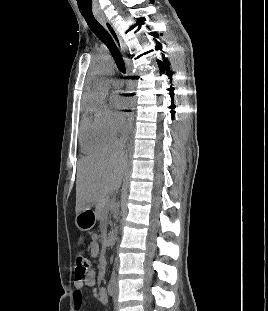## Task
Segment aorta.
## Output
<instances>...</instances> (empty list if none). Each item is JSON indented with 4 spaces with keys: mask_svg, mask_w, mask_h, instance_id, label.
Wrapping results in <instances>:
<instances>
[{
    "mask_svg": "<svg viewBox=\"0 0 268 311\" xmlns=\"http://www.w3.org/2000/svg\"><path fill=\"white\" fill-rule=\"evenodd\" d=\"M94 71L97 75L94 91L99 96H104L108 92L106 76L114 71V63L109 59L100 61L94 66Z\"/></svg>",
    "mask_w": 268,
    "mask_h": 311,
    "instance_id": "762f6f07",
    "label": "aorta"
}]
</instances>
